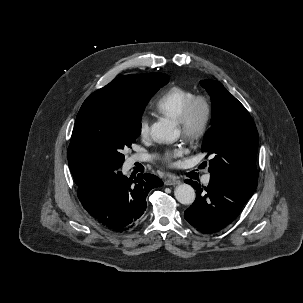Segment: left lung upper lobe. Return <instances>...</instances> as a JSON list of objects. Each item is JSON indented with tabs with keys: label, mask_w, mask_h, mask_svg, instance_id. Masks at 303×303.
Returning <instances> with one entry per match:
<instances>
[{
	"label": "left lung upper lobe",
	"mask_w": 303,
	"mask_h": 303,
	"mask_svg": "<svg viewBox=\"0 0 303 303\" xmlns=\"http://www.w3.org/2000/svg\"><path fill=\"white\" fill-rule=\"evenodd\" d=\"M211 96L212 122L205 134L202 152L213 153L209 172L220 176L249 194L258 182L256 156L258 132L245 107L215 80H202Z\"/></svg>",
	"instance_id": "1"
}]
</instances>
